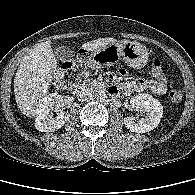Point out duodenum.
<instances>
[{
    "label": "duodenum",
    "instance_id": "obj_1",
    "mask_svg": "<svg viewBox=\"0 0 195 195\" xmlns=\"http://www.w3.org/2000/svg\"><path fill=\"white\" fill-rule=\"evenodd\" d=\"M86 89H87V85L84 82L76 83L71 88L72 92L75 94H81L84 91H86ZM105 90H106V92H108L109 94H112V95L117 93V88L113 85L106 86Z\"/></svg>",
    "mask_w": 195,
    "mask_h": 195
}]
</instances>
